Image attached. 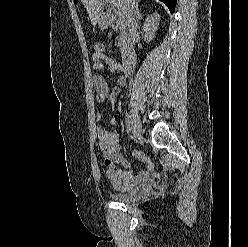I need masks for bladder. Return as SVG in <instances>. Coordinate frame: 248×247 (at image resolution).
Returning a JSON list of instances; mask_svg holds the SVG:
<instances>
[{
    "mask_svg": "<svg viewBox=\"0 0 248 247\" xmlns=\"http://www.w3.org/2000/svg\"><path fill=\"white\" fill-rule=\"evenodd\" d=\"M152 190V185L147 183V184H142L136 187L132 191H117L112 194V197L123 203L127 202H133L135 200H138L146 195H148Z\"/></svg>",
    "mask_w": 248,
    "mask_h": 247,
    "instance_id": "bladder-1",
    "label": "bladder"
}]
</instances>
